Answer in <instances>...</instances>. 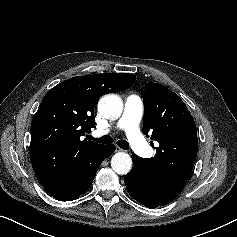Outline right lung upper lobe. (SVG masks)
Returning a JSON list of instances; mask_svg holds the SVG:
<instances>
[{"mask_svg": "<svg viewBox=\"0 0 237 237\" xmlns=\"http://www.w3.org/2000/svg\"><path fill=\"white\" fill-rule=\"evenodd\" d=\"M134 74L76 76L53 87L43 98L31 126L30 158L45 186L68 184L76 163L102 147L82 140L95 127L94 107L106 93L129 88Z\"/></svg>", "mask_w": 237, "mask_h": 237, "instance_id": "cb5924a9", "label": "right lung upper lobe"}]
</instances>
